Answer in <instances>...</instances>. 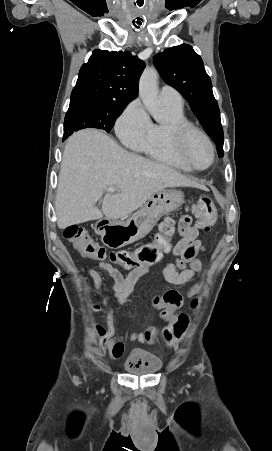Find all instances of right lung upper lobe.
Masks as SVG:
<instances>
[{"label":"right lung upper lobe","instance_id":"right-lung-upper-lobe-1","mask_svg":"<svg viewBox=\"0 0 272 451\" xmlns=\"http://www.w3.org/2000/svg\"><path fill=\"white\" fill-rule=\"evenodd\" d=\"M145 63L129 51L96 49L83 64L70 103L104 101L129 103L138 96V81Z\"/></svg>","mask_w":272,"mask_h":451}]
</instances>
